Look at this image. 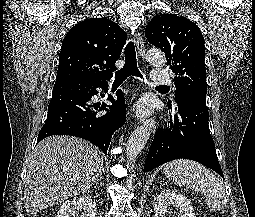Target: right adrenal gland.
I'll return each mask as SVG.
<instances>
[{
	"label": "right adrenal gland",
	"instance_id": "obj_1",
	"mask_svg": "<svg viewBox=\"0 0 255 217\" xmlns=\"http://www.w3.org/2000/svg\"><path fill=\"white\" fill-rule=\"evenodd\" d=\"M100 183L101 185L103 184V182H102V176H99V178L97 179V181L95 182V183Z\"/></svg>",
	"mask_w": 255,
	"mask_h": 217
}]
</instances>
